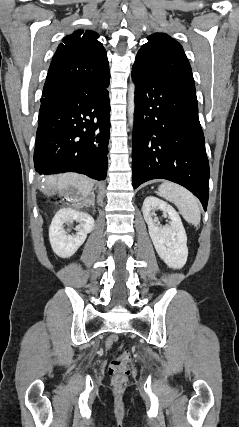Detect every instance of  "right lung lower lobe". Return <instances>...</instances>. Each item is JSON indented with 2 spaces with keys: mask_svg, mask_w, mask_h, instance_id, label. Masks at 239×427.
Returning a JSON list of instances; mask_svg holds the SVG:
<instances>
[{
  "mask_svg": "<svg viewBox=\"0 0 239 427\" xmlns=\"http://www.w3.org/2000/svg\"><path fill=\"white\" fill-rule=\"evenodd\" d=\"M110 73L42 95L34 150L40 174L77 172L104 180L108 165Z\"/></svg>",
  "mask_w": 239,
  "mask_h": 427,
  "instance_id": "1",
  "label": "right lung lower lobe"
}]
</instances>
